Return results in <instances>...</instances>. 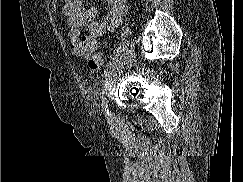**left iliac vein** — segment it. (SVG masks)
Returning a JSON list of instances; mask_svg holds the SVG:
<instances>
[{
	"mask_svg": "<svg viewBox=\"0 0 243 182\" xmlns=\"http://www.w3.org/2000/svg\"><path fill=\"white\" fill-rule=\"evenodd\" d=\"M113 120H114V115H113V113L110 111V112H109V115H108V122H109V123H112Z\"/></svg>",
	"mask_w": 243,
	"mask_h": 182,
	"instance_id": "1",
	"label": "left iliac vein"
}]
</instances>
